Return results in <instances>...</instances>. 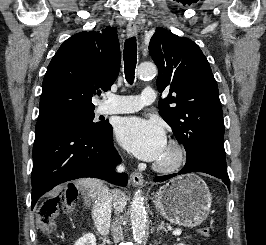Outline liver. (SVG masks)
I'll list each match as a JSON object with an SVG mask.
<instances>
[{"mask_svg":"<svg viewBox=\"0 0 266 245\" xmlns=\"http://www.w3.org/2000/svg\"><path fill=\"white\" fill-rule=\"evenodd\" d=\"M77 183L80 185V187H85L91 199L95 197V193H98L102 187H105V185H103V181H99V179H79ZM111 193L116 213H123L127 203V197L125 193H123V191H118V189H114V191H111Z\"/></svg>","mask_w":266,"mask_h":245,"instance_id":"obj_1","label":"liver"}]
</instances>
